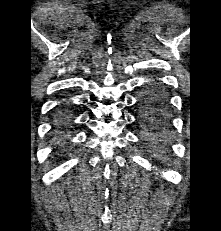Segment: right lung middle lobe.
I'll return each mask as SVG.
<instances>
[{
    "mask_svg": "<svg viewBox=\"0 0 221 231\" xmlns=\"http://www.w3.org/2000/svg\"><path fill=\"white\" fill-rule=\"evenodd\" d=\"M70 119V115L65 109L60 111L56 117L55 122L57 130L64 131L66 127L70 126Z\"/></svg>",
    "mask_w": 221,
    "mask_h": 231,
    "instance_id": "dd1d6c3e",
    "label": "right lung middle lobe"
}]
</instances>
